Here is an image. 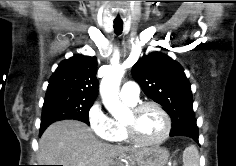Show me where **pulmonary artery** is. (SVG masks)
Returning a JSON list of instances; mask_svg holds the SVG:
<instances>
[{
  "label": "pulmonary artery",
  "mask_w": 236,
  "mask_h": 166,
  "mask_svg": "<svg viewBox=\"0 0 236 166\" xmlns=\"http://www.w3.org/2000/svg\"><path fill=\"white\" fill-rule=\"evenodd\" d=\"M123 100L135 103L139 99V86L134 81H129L123 85L120 91Z\"/></svg>",
  "instance_id": "1"
}]
</instances>
